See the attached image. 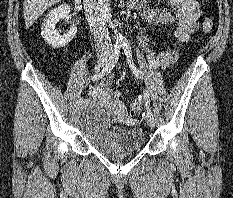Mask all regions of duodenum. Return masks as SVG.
<instances>
[{
  "label": "duodenum",
  "instance_id": "410a0bca",
  "mask_svg": "<svg viewBox=\"0 0 233 198\" xmlns=\"http://www.w3.org/2000/svg\"><path fill=\"white\" fill-rule=\"evenodd\" d=\"M144 0H128V6L130 8H137L143 4Z\"/></svg>",
  "mask_w": 233,
  "mask_h": 198
}]
</instances>
